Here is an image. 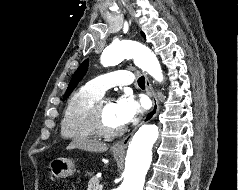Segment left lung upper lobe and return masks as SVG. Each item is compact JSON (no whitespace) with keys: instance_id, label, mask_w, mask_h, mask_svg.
<instances>
[{"instance_id":"5c2ea615","label":"left lung upper lobe","mask_w":238,"mask_h":190,"mask_svg":"<svg viewBox=\"0 0 238 190\" xmlns=\"http://www.w3.org/2000/svg\"><path fill=\"white\" fill-rule=\"evenodd\" d=\"M143 36L144 33H142ZM87 68H88V60H85L80 66L79 68L76 70V72L74 73L69 85H68V88H67V91L64 95V100L68 97V95L72 92V90L75 88V86L77 85V83L82 79V77L85 75L86 71H87Z\"/></svg>"}]
</instances>
